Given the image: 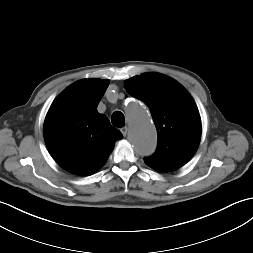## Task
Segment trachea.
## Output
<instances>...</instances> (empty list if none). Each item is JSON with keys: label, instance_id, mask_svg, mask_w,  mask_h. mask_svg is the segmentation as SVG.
Listing matches in <instances>:
<instances>
[{"label": "trachea", "instance_id": "trachea-1", "mask_svg": "<svg viewBox=\"0 0 253 253\" xmlns=\"http://www.w3.org/2000/svg\"><path fill=\"white\" fill-rule=\"evenodd\" d=\"M111 122L115 127H123L125 124V117L122 112L116 111L111 117Z\"/></svg>", "mask_w": 253, "mask_h": 253}]
</instances>
